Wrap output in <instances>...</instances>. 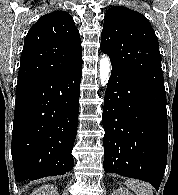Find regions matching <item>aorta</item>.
Listing matches in <instances>:
<instances>
[{
	"instance_id": "aorta-1",
	"label": "aorta",
	"mask_w": 178,
	"mask_h": 195,
	"mask_svg": "<svg viewBox=\"0 0 178 195\" xmlns=\"http://www.w3.org/2000/svg\"><path fill=\"white\" fill-rule=\"evenodd\" d=\"M111 64L106 55H103L99 62V77L102 86H106L110 78Z\"/></svg>"
}]
</instances>
